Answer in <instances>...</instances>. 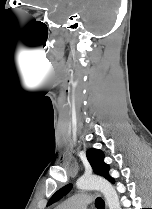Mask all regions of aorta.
Segmentation results:
<instances>
[{
    "instance_id": "aorta-1",
    "label": "aorta",
    "mask_w": 152,
    "mask_h": 209,
    "mask_svg": "<svg viewBox=\"0 0 152 209\" xmlns=\"http://www.w3.org/2000/svg\"><path fill=\"white\" fill-rule=\"evenodd\" d=\"M76 186L80 190H98L100 191L109 206V209H119V197L110 182L98 176H82L77 182Z\"/></svg>"
}]
</instances>
